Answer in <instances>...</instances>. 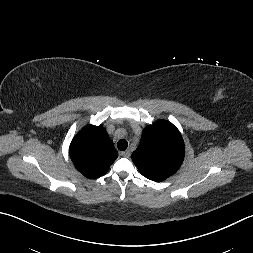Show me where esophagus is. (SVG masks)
<instances>
[{
  "instance_id": "esophagus-1",
  "label": "esophagus",
  "mask_w": 253,
  "mask_h": 253,
  "mask_svg": "<svg viewBox=\"0 0 253 253\" xmlns=\"http://www.w3.org/2000/svg\"><path fill=\"white\" fill-rule=\"evenodd\" d=\"M130 154L131 153H130L129 150H126V151H123V152L120 153V155L123 156V157H130Z\"/></svg>"
}]
</instances>
